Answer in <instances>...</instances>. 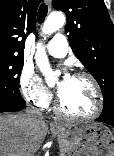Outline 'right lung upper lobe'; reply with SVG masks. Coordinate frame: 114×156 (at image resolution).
<instances>
[{
  "label": "right lung upper lobe",
  "mask_w": 114,
  "mask_h": 156,
  "mask_svg": "<svg viewBox=\"0 0 114 156\" xmlns=\"http://www.w3.org/2000/svg\"><path fill=\"white\" fill-rule=\"evenodd\" d=\"M42 0H0V56L23 57L24 42L36 25Z\"/></svg>",
  "instance_id": "right-lung-upper-lobe-1"
}]
</instances>
